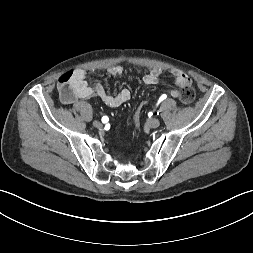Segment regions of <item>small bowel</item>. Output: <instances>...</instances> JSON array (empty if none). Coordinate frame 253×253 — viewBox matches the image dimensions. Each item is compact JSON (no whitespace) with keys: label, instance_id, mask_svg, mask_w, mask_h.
<instances>
[{"label":"small bowel","instance_id":"small-bowel-1","mask_svg":"<svg viewBox=\"0 0 253 253\" xmlns=\"http://www.w3.org/2000/svg\"><path fill=\"white\" fill-rule=\"evenodd\" d=\"M108 73L111 76H119L123 73V67L119 65L111 66L108 69ZM163 71L160 68H153L142 78L144 85L156 84ZM71 77L68 83L67 93H62L60 83L58 84L60 90L61 100L64 104H73L80 99H88L93 96L100 98L109 107H119L131 98V92L124 88L116 94H108L103 85L96 82L93 86H90L86 81V71L83 69H75L70 72ZM170 74L175 78L176 85L180 90L186 86H191V79L189 76L181 70H172ZM180 90L173 89L170 91V95L174 98L180 96Z\"/></svg>","mask_w":253,"mask_h":253}]
</instances>
